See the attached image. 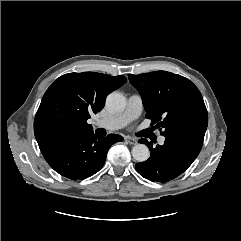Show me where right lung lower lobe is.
<instances>
[{
	"label": "right lung lower lobe",
	"mask_w": 241,
	"mask_h": 241,
	"mask_svg": "<svg viewBox=\"0 0 241 241\" xmlns=\"http://www.w3.org/2000/svg\"><path fill=\"white\" fill-rule=\"evenodd\" d=\"M122 140L115 134L98 137L92 131L51 138L40 143L39 148L57 173L72 180H82L98 172L110 146Z\"/></svg>",
	"instance_id": "98d812e1"
}]
</instances>
